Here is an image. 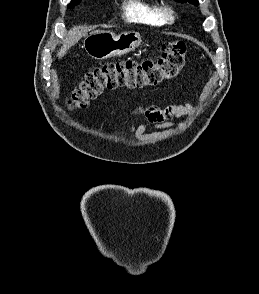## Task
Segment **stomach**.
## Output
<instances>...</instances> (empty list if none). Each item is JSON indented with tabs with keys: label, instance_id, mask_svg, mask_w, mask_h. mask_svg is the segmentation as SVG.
Listing matches in <instances>:
<instances>
[{
	"label": "stomach",
	"instance_id": "1",
	"mask_svg": "<svg viewBox=\"0 0 259 294\" xmlns=\"http://www.w3.org/2000/svg\"><path fill=\"white\" fill-rule=\"evenodd\" d=\"M139 33L122 32L118 35L111 31H93L84 39L83 46L88 55L103 60L127 54L141 45Z\"/></svg>",
	"mask_w": 259,
	"mask_h": 294
}]
</instances>
